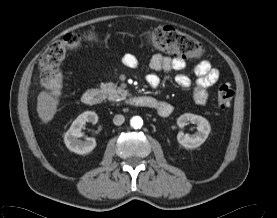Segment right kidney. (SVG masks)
Listing matches in <instances>:
<instances>
[{
    "mask_svg": "<svg viewBox=\"0 0 277 218\" xmlns=\"http://www.w3.org/2000/svg\"><path fill=\"white\" fill-rule=\"evenodd\" d=\"M88 122L96 124L98 122V115L92 111H86L80 114L65 133L64 143L70 151L80 155H85L90 153L96 147V141L94 138H87L85 141L79 139L83 136L82 128Z\"/></svg>",
    "mask_w": 277,
    "mask_h": 218,
    "instance_id": "ca27d5eb",
    "label": "right kidney"
}]
</instances>
